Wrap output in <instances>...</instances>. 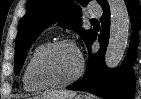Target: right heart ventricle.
<instances>
[{
	"instance_id": "e07e8e85",
	"label": "right heart ventricle",
	"mask_w": 141,
	"mask_h": 99,
	"mask_svg": "<svg viewBox=\"0 0 141 99\" xmlns=\"http://www.w3.org/2000/svg\"><path fill=\"white\" fill-rule=\"evenodd\" d=\"M48 42L47 41H44L42 43H40L35 49L34 51L32 52L31 54V57L25 67V70H24V73H23V78H22V81H23V86H24V89L26 91H29V92H39V91H42L45 89V87H41V86H38L36 84H34L29 76V69H30V64L34 58V56L45 46L47 45Z\"/></svg>"
}]
</instances>
